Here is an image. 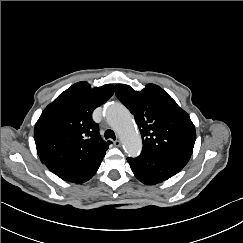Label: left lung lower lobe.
<instances>
[{
	"instance_id": "obj_1",
	"label": "left lung lower lobe",
	"mask_w": 243,
	"mask_h": 243,
	"mask_svg": "<svg viewBox=\"0 0 243 243\" xmlns=\"http://www.w3.org/2000/svg\"><path fill=\"white\" fill-rule=\"evenodd\" d=\"M131 170L138 180L146 185H155L177 174L188 161L148 153L136 158H127Z\"/></svg>"
}]
</instances>
